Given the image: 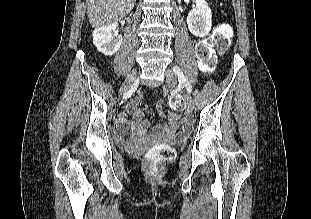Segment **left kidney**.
<instances>
[{
  "instance_id": "obj_1",
  "label": "left kidney",
  "mask_w": 311,
  "mask_h": 219,
  "mask_svg": "<svg viewBox=\"0 0 311 219\" xmlns=\"http://www.w3.org/2000/svg\"><path fill=\"white\" fill-rule=\"evenodd\" d=\"M189 31L197 37H205L211 31L212 12L205 0H196V8L187 16Z\"/></svg>"
}]
</instances>
